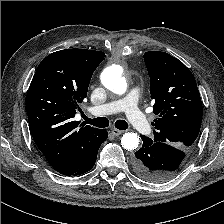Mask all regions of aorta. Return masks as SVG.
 <instances>
[{"label": "aorta", "mask_w": 224, "mask_h": 224, "mask_svg": "<svg viewBox=\"0 0 224 224\" xmlns=\"http://www.w3.org/2000/svg\"><path fill=\"white\" fill-rule=\"evenodd\" d=\"M102 84L115 94L122 95L127 90V81L123 75V68L112 65L104 69L101 74ZM139 136L133 132L125 133L121 138V145L126 150H134L139 145Z\"/></svg>", "instance_id": "1"}]
</instances>
